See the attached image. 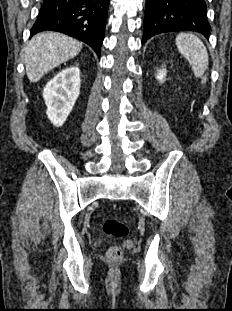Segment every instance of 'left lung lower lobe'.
I'll list each match as a JSON object with an SVG mask.
<instances>
[{"label":"left lung lower lobe","mask_w":232,"mask_h":311,"mask_svg":"<svg viewBox=\"0 0 232 311\" xmlns=\"http://www.w3.org/2000/svg\"><path fill=\"white\" fill-rule=\"evenodd\" d=\"M174 31H196L209 37L204 0H146L144 36Z\"/></svg>","instance_id":"0a47b994"}]
</instances>
